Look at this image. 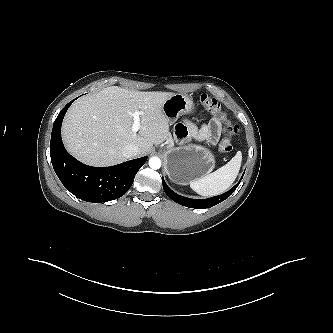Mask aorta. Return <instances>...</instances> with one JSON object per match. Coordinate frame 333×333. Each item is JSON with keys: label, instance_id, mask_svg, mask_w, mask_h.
Instances as JSON below:
<instances>
[{"label": "aorta", "instance_id": "1", "mask_svg": "<svg viewBox=\"0 0 333 333\" xmlns=\"http://www.w3.org/2000/svg\"><path fill=\"white\" fill-rule=\"evenodd\" d=\"M149 166L151 169L157 170L161 167V160L158 157H151L149 159Z\"/></svg>", "mask_w": 333, "mask_h": 333}]
</instances>
